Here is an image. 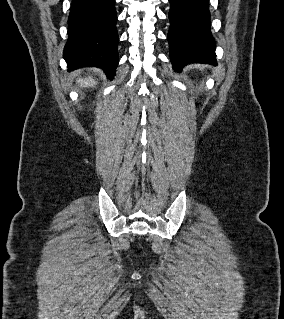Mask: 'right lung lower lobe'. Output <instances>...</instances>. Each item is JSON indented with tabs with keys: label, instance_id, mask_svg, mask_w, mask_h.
<instances>
[{
	"label": "right lung lower lobe",
	"instance_id": "98d812e1",
	"mask_svg": "<svg viewBox=\"0 0 284 319\" xmlns=\"http://www.w3.org/2000/svg\"><path fill=\"white\" fill-rule=\"evenodd\" d=\"M115 0H72L63 56L69 71L102 68L112 79L119 62Z\"/></svg>",
	"mask_w": 284,
	"mask_h": 319
}]
</instances>
